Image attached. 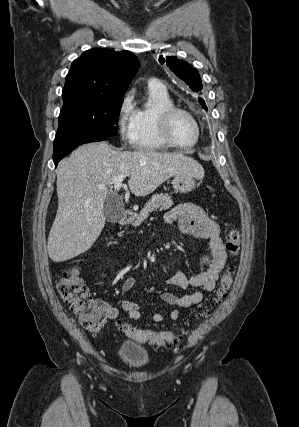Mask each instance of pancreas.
Instances as JSON below:
<instances>
[{"label": "pancreas", "instance_id": "cf45deb5", "mask_svg": "<svg viewBox=\"0 0 299 427\" xmlns=\"http://www.w3.org/2000/svg\"><path fill=\"white\" fill-rule=\"evenodd\" d=\"M173 201L170 196L164 194H155L150 201L141 209L137 216L134 226H139L151 212L156 210H167L173 206Z\"/></svg>", "mask_w": 299, "mask_h": 427}]
</instances>
